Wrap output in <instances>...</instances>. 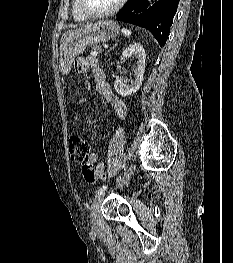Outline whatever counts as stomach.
Returning a JSON list of instances; mask_svg holds the SVG:
<instances>
[{
	"instance_id": "obj_1",
	"label": "stomach",
	"mask_w": 233,
	"mask_h": 263,
	"mask_svg": "<svg viewBox=\"0 0 233 263\" xmlns=\"http://www.w3.org/2000/svg\"><path fill=\"white\" fill-rule=\"evenodd\" d=\"M119 33L115 21L102 20L89 23L63 34L59 47V69L63 75L69 73L75 57L84 52L86 46L97 45L114 39Z\"/></svg>"
}]
</instances>
